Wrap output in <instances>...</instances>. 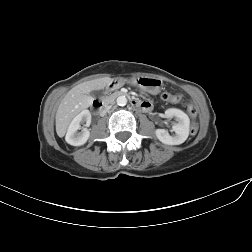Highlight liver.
<instances>
[{
  "label": "liver",
  "instance_id": "1",
  "mask_svg": "<svg viewBox=\"0 0 252 252\" xmlns=\"http://www.w3.org/2000/svg\"><path fill=\"white\" fill-rule=\"evenodd\" d=\"M111 82L112 79L109 77L83 82L66 94L56 113V131L60 137L65 134L72 119L91 105L93 98L90 92L104 89Z\"/></svg>",
  "mask_w": 252,
  "mask_h": 252
}]
</instances>
